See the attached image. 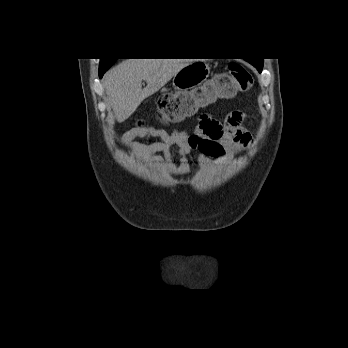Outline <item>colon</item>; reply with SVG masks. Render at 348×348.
Wrapping results in <instances>:
<instances>
[{
  "instance_id": "colon-1",
  "label": "colon",
  "mask_w": 348,
  "mask_h": 348,
  "mask_svg": "<svg viewBox=\"0 0 348 348\" xmlns=\"http://www.w3.org/2000/svg\"><path fill=\"white\" fill-rule=\"evenodd\" d=\"M252 86L253 77L250 72L241 64L232 63L227 72L219 74L206 88L214 92L218 98H226L248 92ZM194 108L188 95L168 93L158 99L157 116L161 122H177L185 118Z\"/></svg>"
}]
</instances>
